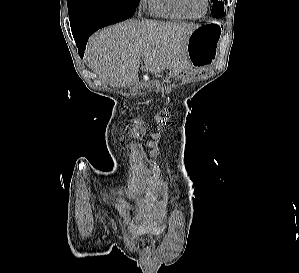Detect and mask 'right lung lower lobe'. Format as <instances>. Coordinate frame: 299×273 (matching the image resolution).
Returning a JSON list of instances; mask_svg holds the SVG:
<instances>
[{"mask_svg":"<svg viewBox=\"0 0 299 273\" xmlns=\"http://www.w3.org/2000/svg\"><path fill=\"white\" fill-rule=\"evenodd\" d=\"M136 9L104 8L91 12H78L70 17L73 37L83 58L84 50L90 35L105 26L126 20L131 17Z\"/></svg>","mask_w":299,"mask_h":273,"instance_id":"98d812e1","label":"right lung lower lobe"}]
</instances>
